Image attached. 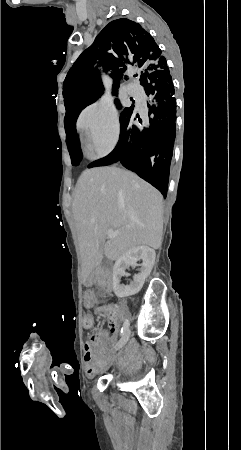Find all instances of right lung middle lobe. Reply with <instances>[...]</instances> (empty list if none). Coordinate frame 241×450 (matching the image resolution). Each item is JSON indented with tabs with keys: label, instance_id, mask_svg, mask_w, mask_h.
I'll return each mask as SVG.
<instances>
[{
	"label": "right lung middle lobe",
	"instance_id": "1",
	"mask_svg": "<svg viewBox=\"0 0 241 450\" xmlns=\"http://www.w3.org/2000/svg\"><path fill=\"white\" fill-rule=\"evenodd\" d=\"M103 93V88H96L92 86L87 80L82 76L75 74L73 72H68L64 83H63V97L66 108V115L78 114L82 109H84L89 104L95 102ZM113 95H117V90H113ZM118 108L121 105L118 100H115ZM134 105L125 108L121 112L120 122L125 120L127 117L133 115ZM71 162L73 166H77L81 159L82 154L76 152L73 149H69Z\"/></svg>",
	"mask_w": 241,
	"mask_h": 450
}]
</instances>
